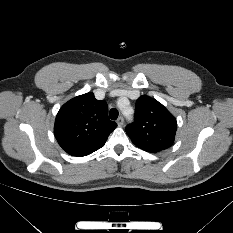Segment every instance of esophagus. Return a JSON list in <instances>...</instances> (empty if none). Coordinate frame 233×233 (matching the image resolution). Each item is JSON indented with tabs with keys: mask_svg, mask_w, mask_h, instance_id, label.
Listing matches in <instances>:
<instances>
[{
	"mask_svg": "<svg viewBox=\"0 0 233 233\" xmlns=\"http://www.w3.org/2000/svg\"><path fill=\"white\" fill-rule=\"evenodd\" d=\"M124 124V118L122 116H120L118 119H117V125L118 126H122Z\"/></svg>",
	"mask_w": 233,
	"mask_h": 233,
	"instance_id": "34e87169",
	"label": "esophagus"
}]
</instances>
